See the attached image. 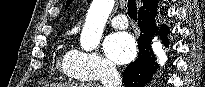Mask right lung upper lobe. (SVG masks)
Listing matches in <instances>:
<instances>
[{
    "mask_svg": "<svg viewBox=\"0 0 205 87\" xmlns=\"http://www.w3.org/2000/svg\"><path fill=\"white\" fill-rule=\"evenodd\" d=\"M71 2L72 0H67L65 9H67V7L70 5ZM149 3H151V0H143V7L148 5Z\"/></svg>",
    "mask_w": 205,
    "mask_h": 87,
    "instance_id": "right-lung-upper-lobe-1",
    "label": "right lung upper lobe"
}]
</instances>
